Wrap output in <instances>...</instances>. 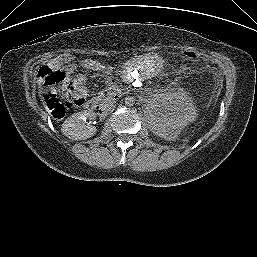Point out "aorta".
Masks as SVG:
<instances>
[{
	"instance_id": "obj_1",
	"label": "aorta",
	"mask_w": 257,
	"mask_h": 257,
	"mask_svg": "<svg viewBox=\"0 0 257 257\" xmlns=\"http://www.w3.org/2000/svg\"><path fill=\"white\" fill-rule=\"evenodd\" d=\"M125 104L127 105V106H133L134 104H135V98L134 97H132V96H127L126 98H125Z\"/></svg>"
}]
</instances>
